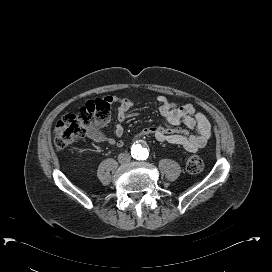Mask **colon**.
I'll return each mask as SVG.
<instances>
[{"label":"colon","instance_id":"colon-1","mask_svg":"<svg viewBox=\"0 0 272 272\" xmlns=\"http://www.w3.org/2000/svg\"><path fill=\"white\" fill-rule=\"evenodd\" d=\"M110 102L106 98L87 101L81 107L64 115L54 129V146L62 150L84 138L94 126L105 125L110 118ZM204 164L197 155H192L186 163L190 174H199Z\"/></svg>","mask_w":272,"mask_h":272}]
</instances>
